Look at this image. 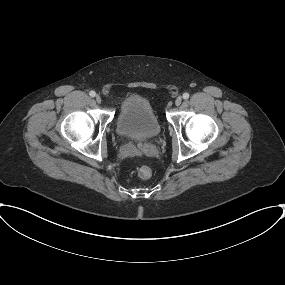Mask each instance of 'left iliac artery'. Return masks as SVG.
Returning a JSON list of instances; mask_svg holds the SVG:
<instances>
[{
  "instance_id": "left-iliac-artery-1",
  "label": "left iliac artery",
  "mask_w": 285,
  "mask_h": 285,
  "mask_svg": "<svg viewBox=\"0 0 285 285\" xmlns=\"http://www.w3.org/2000/svg\"><path fill=\"white\" fill-rule=\"evenodd\" d=\"M189 98V93H184L183 94V99H188Z\"/></svg>"
}]
</instances>
